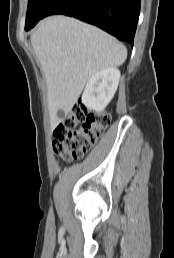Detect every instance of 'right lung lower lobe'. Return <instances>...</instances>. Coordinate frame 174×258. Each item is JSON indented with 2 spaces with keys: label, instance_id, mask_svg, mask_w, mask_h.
Segmentation results:
<instances>
[{
  "label": "right lung lower lobe",
  "instance_id": "1",
  "mask_svg": "<svg viewBox=\"0 0 174 258\" xmlns=\"http://www.w3.org/2000/svg\"><path fill=\"white\" fill-rule=\"evenodd\" d=\"M140 0H55L44 17L63 14L98 26L133 46Z\"/></svg>",
  "mask_w": 174,
  "mask_h": 258
}]
</instances>
